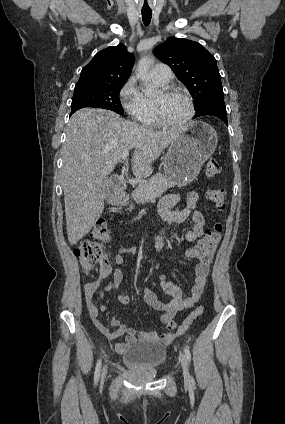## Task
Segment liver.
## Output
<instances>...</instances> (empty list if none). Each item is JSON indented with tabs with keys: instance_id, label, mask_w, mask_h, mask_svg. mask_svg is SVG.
Wrapping results in <instances>:
<instances>
[{
	"instance_id": "1",
	"label": "liver",
	"mask_w": 285,
	"mask_h": 424,
	"mask_svg": "<svg viewBox=\"0 0 285 424\" xmlns=\"http://www.w3.org/2000/svg\"><path fill=\"white\" fill-rule=\"evenodd\" d=\"M180 131H152L105 109L83 108L69 120L62 148V186L68 240L75 245L104 210L102 181L133 150L131 170L140 178Z\"/></svg>"
}]
</instances>
